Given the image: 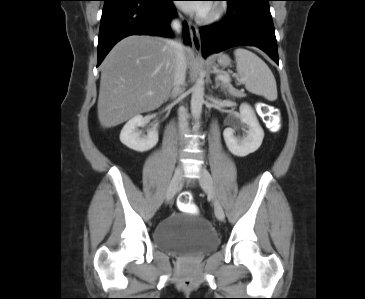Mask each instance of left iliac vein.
Wrapping results in <instances>:
<instances>
[{"label":"left iliac vein","instance_id":"4c4485c4","mask_svg":"<svg viewBox=\"0 0 365 299\" xmlns=\"http://www.w3.org/2000/svg\"><path fill=\"white\" fill-rule=\"evenodd\" d=\"M199 183L202 189L212 198L214 203L215 216L218 220L223 221L225 218L224 210L216 197L213 181L210 173L203 167H200Z\"/></svg>","mask_w":365,"mask_h":299}]
</instances>
